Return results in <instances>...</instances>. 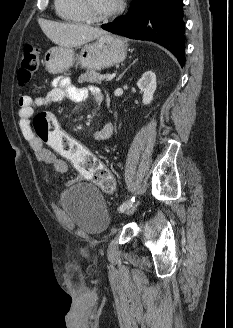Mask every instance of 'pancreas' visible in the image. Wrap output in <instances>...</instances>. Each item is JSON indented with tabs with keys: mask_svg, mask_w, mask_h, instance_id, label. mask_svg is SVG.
I'll return each mask as SVG.
<instances>
[{
	"mask_svg": "<svg viewBox=\"0 0 233 328\" xmlns=\"http://www.w3.org/2000/svg\"><path fill=\"white\" fill-rule=\"evenodd\" d=\"M108 75H102L100 73H97L94 70L88 69L85 71L83 74L79 76L78 82L79 83H84V82H89V83H97L101 84V81L105 79Z\"/></svg>",
	"mask_w": 233,
	"mask_h": 328,
	"instance_id": "1",
	"label": "pancreas"
}]
</instances>
